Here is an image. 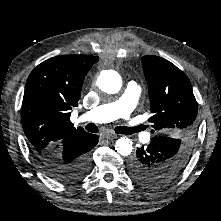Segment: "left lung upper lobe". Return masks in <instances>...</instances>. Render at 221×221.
<instances>
[{
	"instance_id": "5c2ea615",
	"label": "left lung upper lobe",
	"mask_w": 221,
	"mask_h": 221,
	"mask_svg": "<svg viewBox=\"0 0 221 221\" xmlns=\"http://www.w3.org/2000/svg\"><path fill=\"white\" fill-rule=\"evenodd\" d=\"M148 82L151 133L164 134L166 150L161 159L162 174L147 176L145 180L158 186L174 180L188 163L197 130V102L191 83L184 72L171 62L153 55L142 58Z\"/></svg>"
}]
</instances>
